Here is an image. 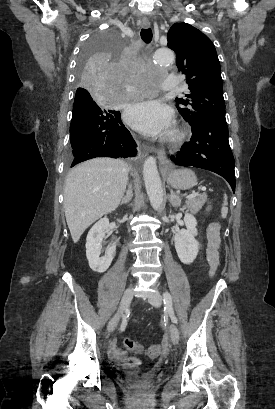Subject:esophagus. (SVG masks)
<instances>
[{"label":"esophagus","mask_w":275,"mask_h":409,"mask_svg":"<svg viewBox=\"0 0 275 409\" xmlns=\"http://www.w3.org/2000/svg\"><path fill=\"white\" fill-rule=\"evenodd\" d=\"M141 28L147 29L150 27V22L147 17L141 19ZM159 159H167L166 151L163 147H158L155 149Z\"/></svg>","instance_id":"obj_1"}]
</instances>
